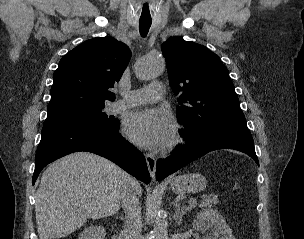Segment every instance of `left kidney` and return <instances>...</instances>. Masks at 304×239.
Listing matches in <instances>:
<instances>
[{"label":"left kidney","mask_w":304,"mask_h":239,"mask_svg":"<svg viewBox=\"0 0 304 239\" xmlns=\"http://www.w3.org/2000/svg\"><path fill=\"white\" fill-rule=\"evenodd\" d=\"M193 226L198 231L212 227V233L207 235L206 239H236L225 218L217 210L201 211L197 214V220L193 222Z\"/></svg>","instance_id":"left-kidney-1"}]
</instances>
